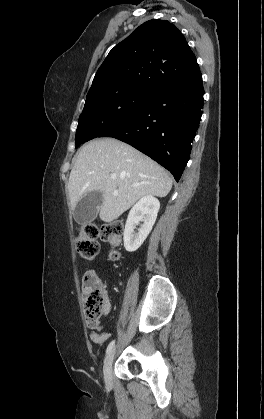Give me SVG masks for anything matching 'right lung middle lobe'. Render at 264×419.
Masks as SVG:
<instances>
[{"label": "right lung middle lobe", "mask_w": 264, "mask_h": 419, "mask_svg": "<svg viewBox=\"0 0 264 419\" xmlns=\"http://www.w3.org/2000/svg\"><path fill=\"white\" fill-rule=\"evenodd\" d=\"M154 92L139 87L103 88L87 94L76 131V148L132 115Z\"/></svg>", "instance_id": "dd1d6c3e"}]
</instances>
